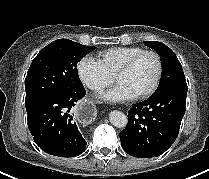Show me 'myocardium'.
Listing matches in <instances>:
<instances>
[{
    "label": "myocardium",
    "instance_id": "1",
    "mask_svg": "<svg viewBox=\"0 0 209 179\" xmlns=\"http://www.w3.org/2000/svg\"><path fill=\"white\" fill-rule=\"evenodd\" d=\"M145 55H151L154 57L156 64H157V72H156V76L155 79L153 81V83L151 84V86L146 89L145 91L141 92L140 94H137L135 96H133L134 99L136 100H141V99H145L147 97H149L150 95H152L156 89L159 86V83L161 81L162 78V74H163V63H162V59L160 57V55L153 50H143L135 55H133L131 58H129L114 74L113 78L116 81L117 78L128 72L134 65L135 63L143 56Z\"/></svg>",
    "mask_w": 209,
    "mask_h": 179
}]
</instances>
